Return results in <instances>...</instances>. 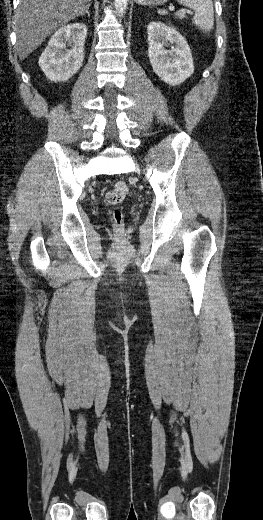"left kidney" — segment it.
Instances as JSON below:
<instances>
[{"label":"left kidney","instance_id":"left-kidney-1","mask_svg":"<svg viewBox=\"0 0 263 520\" xmlns=\"http://www.w3.org/2000/svg\"><path fill=\"white\" fill-rule=\"evenodd\" d=\"M148 55L155 74L165 83L176 86L194 72L190 48L182 35L173 27L151 22L147 27ZM171 45V49L166 47Z\"/></svg>","mask_w":263,"mask_h":520}]
</instances>
